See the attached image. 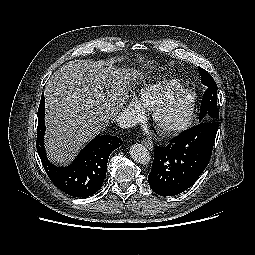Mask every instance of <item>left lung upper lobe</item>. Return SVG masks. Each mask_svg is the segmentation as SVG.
Wrapping results in <instances>:
<instances>
[{
	"label": "left lung upper lobe",
	"mask_w": 255,
	"mask_h": 255,
	"mask_svg": "<svg viewBox=\"0 0 255 255\" xmlns=\"http://www.w3.org/2000/svg\"><path fill=\"white\" fill-rule=\"evenodd\" d=\"M201 82L207 87L201 102L200 122H216L219 117L217 108V85L212 76L203 68L198 67Z\"/></svg>",
	"instance_id": "1"
}]
</instances>
